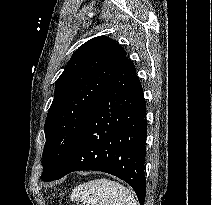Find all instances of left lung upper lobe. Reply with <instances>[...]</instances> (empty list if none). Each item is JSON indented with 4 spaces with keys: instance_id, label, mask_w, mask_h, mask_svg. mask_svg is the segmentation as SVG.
Here are the masks:
<instances>
[{
    "instance_id": "5c2ea615",
    "label": "left lung upper lobe",
    "mask_w": 212,
    "mask_h": 205,
    "mask_svg": "<svg viewBox=\"0 0 212 205\" xmlns=\"http://www.w3.org/2000/svg\"><path fill=\"white\" fill-rule=\"evenodd\" d=\"M126 56L125 50L107 36L85 42L71 57L56 82L44 131L41 179L58 176L74 148L82 126L102 97Z\"/></svg>"
}]
</instances>
